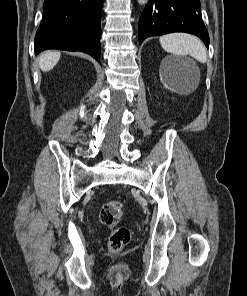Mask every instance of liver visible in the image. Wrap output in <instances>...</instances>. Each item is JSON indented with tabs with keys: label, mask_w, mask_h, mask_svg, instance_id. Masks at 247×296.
I'll use <instances>...</instances> for the list:
<instances>
[{
	"label": "liver",
	"mask_w": 247,
	"mask_h": 296,
	"mask_svg": "<svg viewBox=\"0 0 247 296\" xmlns=\"http://www.w3.org/2000/svg\"><path fill=\"white\" fill-rule=\"evenodd\" d=\"M60 52L58 51H46L42 53L39 58V67L43 72L50 71L58 63L60 59Z\"/></svg>",
	"instance_id": "6515ba94"
}]
</instances>
